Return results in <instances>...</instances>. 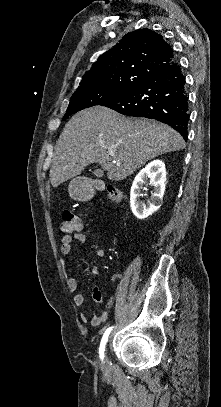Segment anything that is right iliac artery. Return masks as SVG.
Listing matches in <instances>:
<instances>
[{"mask_svg": "<svg viewBox=\"0 0 221 407\" xmlns=\"http://www.w3.org/2000/svg\"><path fill=\"white\" fill-rule=\"evenodd\" d=\"M112 329H113V327H109L105 331V333H104V335L102 337L101 344H100V351H99L101 360H103V358H104L105 345H106V342L108 340V336H109Z\"/></svg>", "mask_w": 221, "mask_h": 407, "instance_id": "obj_1", "label": "right iliac artery"}]
</instances>
